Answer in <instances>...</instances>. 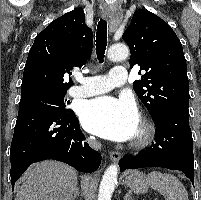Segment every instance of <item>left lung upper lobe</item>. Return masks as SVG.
I'll use <instances>...</instances> for the list:
<instances>
[{
	"label": "left lung upper lobe",
	"mask_w": 201,
	"mask_h": 200,
	"mask_svg": "<svg viewBox=\"0 0 201 200\" xmlns=\"http://www.w3.org/2000/svg\"><path fill=\"white\" fill-rule=\"evenodd\" d=\"M122 38L131 51L130 68L140 65V71H146L133 88L152 118L168 106L188 107L186 60L172 28L157 15L140 9L134 12Z\"/></svg>",
	"instance_id": "1"
}]
</instances>
